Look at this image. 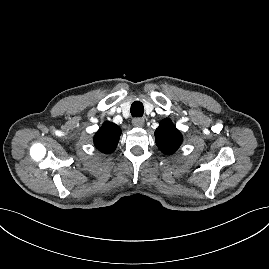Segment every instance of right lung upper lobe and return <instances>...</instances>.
<instances>
[{"instance_id": "right-lung-upper-lobe-1", "label": "right lung upper lobe", "mask_w": 269, "mask_h": 269, "mask_svg": "<svg viewBox=\"0 0 269 269\" xmlns=\"http://www.w3.org/2000/svg\"><path fill=\"white\" fill-rule=\"evenodd\" d=\"M121 129L112 122H105L94 136V145L103 153H111L115 150Z\"/></svg>"}]
</instances>
